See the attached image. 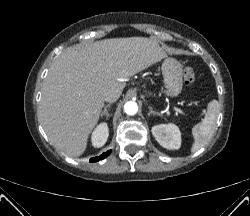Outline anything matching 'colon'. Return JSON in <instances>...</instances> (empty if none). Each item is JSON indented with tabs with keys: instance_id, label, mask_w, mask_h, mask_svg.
<instances>
[{
	"instance_id": "5ec220e1",
	"label": "colon",
	"mask_w": 250,
	"mask_h": 216,
	"mask_svg": "<svg viewBox=\"0 0 250 216\" xmlns=\"http://www.w3.org/2000/svg\"><path fill=\"white\" fill-rule=\"evenodd\" d=\"M184 82L186 85H191L195 81V73L194 70L187 66L184 69Z\"/></svg>"
}]
</instances>
